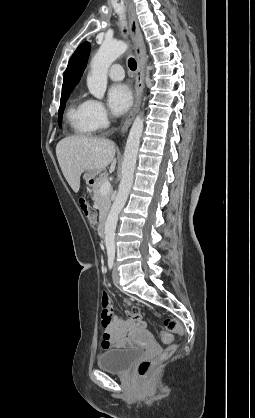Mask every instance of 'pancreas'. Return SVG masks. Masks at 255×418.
Wrapping results in <instances>:
<instances>
[{
	"instance_id": "cf45deb5",
	"label": "pancreas",
	"mask_w": 255,
	"mask_h": 418,
	"mask_svg": "<svg viewBox=\"0 0 255 418\" xmlns=\"http://www.w3.org/2000/svg\"><path fill=\"white\" fill-rule=\"evenodd\" d=\"M108 181V176L106 173H102L97 183L93 187V201L98 206L100 220H103L109 211L111 205V195L107 193L105 195L101 194V186L103 183Z\"/></svg>"
}]
</instances>
